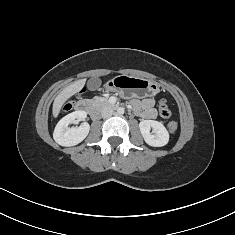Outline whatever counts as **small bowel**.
I'll return each mask as SVG.
<instances>
[{
    "label": "small bowel",
    "instance_id": "1",
    "mask_svg": "<svg viewBox=\"0 0 235 235\" xmlns=\"http://www.w3.org/2000/svg\"><path fill=\"white\" fill-rule=\"evenodd\" d=\"M132 105L136 113L144 119L156 118V111L154 109V100L146 98L143 100H133Z\"/></svg>",
    "mask_w": 235,
    "mask_h": 235
}]
</instances>
